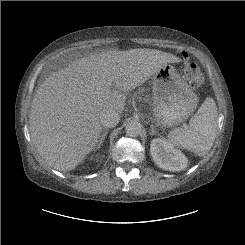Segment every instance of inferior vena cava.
I'll return each instance as SVG.
<instances>
[{
    "label": "inferior vena cava",
    "mask_w": 245,
    "mask_h": 245,
    "mask_svg": "<svg viewBox=\"0 0 245 245\" xmlns=\"http://www.w3.org/2000/svg\"><path fill=\"white\" fill-rule=\"evenodd\" d=\"M99 119L103 127L111 128L118 124L120 115L115 110L105 109L100 113Z\"/></svg>",
    "instance_id": "obj_1"
}]
</instances>
